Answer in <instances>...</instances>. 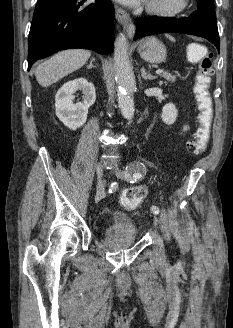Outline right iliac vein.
<instances>
[{"mask_svg": "<svg viewBox=\"0 0 233 328\" xmlns=\"http://www.w3.org/2000/svg\"><path fill=\"white\" fill-rule=\"evenodd\" d=\"M96 176L97 184L95 202H99L105 195V181L103 180V169L101 164H98L96 167Z\"/></svg>", "mask_w": 233, "mask_h": 328, "instance_id": "63e3f726", "label": "right iliac vein"}]
</instances>
